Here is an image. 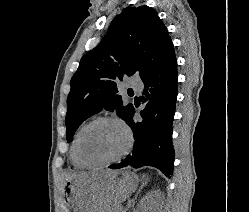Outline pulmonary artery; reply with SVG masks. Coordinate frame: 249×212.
Returning <instances> with one entry per match:
<instances>
[{"label":"pulmonary artery","mask_w":249,"mask_h":212,"mask_svg":"<svg viewBox=\"0 0 249 212\" xmlns=\"http://www.w3.org/2000/svg\"><path fill=\"white\" fill-rule=\"evenodd\" d=\"M131 87L137 91V92H140L142 91V86L141 85H138V84H131Z\"/></svg>","instance_id":"e3ab8cb5"}]
</instances>
